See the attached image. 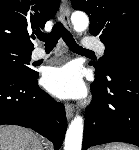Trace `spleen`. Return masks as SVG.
<instances>
[{
	"mask_svg": "<svg viewBox=\"0 0 139 150\" xmlns=\"http://www.w3.org/2000/svg\"><path fill=\"white\" fill-rule=\"evenodd\" d=\"M105 150H136V149L125 144H112L107 146Z\"/></svg>",
	"mask_w": 139,
	"mask_h": 150,
	"instance_id": "1",
	"label": "spleen"
}]
</instances>
